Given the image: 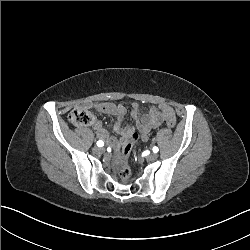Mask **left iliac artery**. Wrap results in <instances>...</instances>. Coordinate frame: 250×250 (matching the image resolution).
Segmentation results:
<instances>
[{"label":"left iliac artery","mask_w":250,"mask_h":250,"mask_svg":"<svg viewBox=\"0 0 250 250\" xmlns=\"http://www.w3.org/2000/svg\"><path fill=\"white\" fill-rule=\"evenodd\" d=\"M158 151H159L158 147L154 146V147H153V152H154V153H157Z\"/></svg>","instance_id":"obj_1"}]
</instances>
